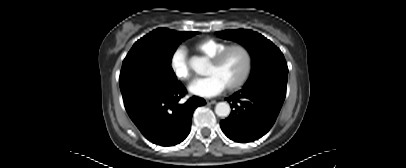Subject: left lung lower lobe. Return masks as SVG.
Segmentation results:
<instances>
[{"label": "left lung lower lobe", "mask_w": 406, "mask_h": 168, "mask_svg": "<svg viewBox=\"0 0 406 168\" xmlns=\"http://www.w3.org/2000/svg\"><path fill=\"white\" fill-rule=\"evenodd\" d=\"M286 95V86L256 84L226 98L233 108L220 122L225 135L236 142H253L273 126Z\"/></svg>", "instance_id": "1"}]
</instances>
